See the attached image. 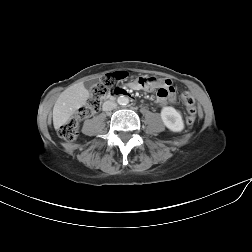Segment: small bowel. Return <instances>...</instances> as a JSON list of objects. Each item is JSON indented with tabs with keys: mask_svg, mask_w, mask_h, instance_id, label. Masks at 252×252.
<instances>
[{
	"mask_svg": "<svg viewBox=\"0 0 252 252\" xmlns=\"http://www.w3.org/2000/svg\"><path fill=\"white\" fill-rule=\"evenodd\" d=\"M149 81L150 88H144L138 79L128 83L127 86L132 90H157V103L159 105L175 101L176 93L170 79L149 78Z\"/></svg>",
	"mask_w": 252,
	"mask_h": 252,
	"instance_id": "small-bowel-1",
	"label": "small bowel"
}]
</instances>
